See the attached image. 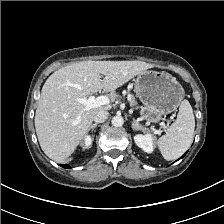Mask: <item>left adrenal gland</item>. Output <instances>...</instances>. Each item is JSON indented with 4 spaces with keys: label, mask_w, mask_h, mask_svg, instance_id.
Here are the masks:
<instances>
[{
    "label": "left adrenal gland",
    "mask_w": 224,
    "mask_h": 224,
    "mask_svg": "<svg viewBox=\"0 0 224 224\" xmlns=\"http://www.w3.org/2000/svg\"><path fill=\"white\" fill-rule=\"evenodd\" d=\"M132 129H133V130H142L143 132H147V131H148V129H146V128L143 127L142 125L138 124V123L135 122L134 120H133V122H132Z\"/></svg>",
    "instance_id": "1"
}]
</instances>
